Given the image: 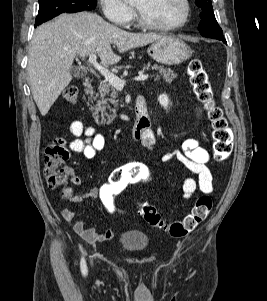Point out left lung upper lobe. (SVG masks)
Segmentation results:
<instances>
[{
	"label": "left lung upper lobe",
	"mask_w": 267,
	"mask_h": 301,
	"mask_svg": "<svg viewBox=\"0 0 267 301\" xmlns=\"http://www.w3.org/2000/svg\"><path fill=\"white\" fill-rule=\"evenodd\" d=\"M198 7L202 9L200 13L201 21L198 26L200 34L204 37L220 39L224 38L223 31L218 25L212 7L211 0H195Z\"/></svg>",
	"instance_id": "1"
}]
</instances>
